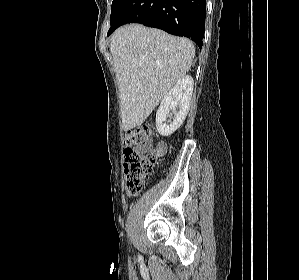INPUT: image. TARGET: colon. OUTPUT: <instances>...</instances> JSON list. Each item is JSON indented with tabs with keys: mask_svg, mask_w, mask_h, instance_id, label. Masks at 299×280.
<instances>
[{
	"mask_svg": "<svg viewBox=\"0 0 299 280\" xmlns=\"http://www.w3.org/2000/svg\"><path fill=\"white\" fill-rule=\"evenodd\" d=\"M152 129L148 126L130 130L124 139V174L126 192L130 196L138 195L153 172L159 153H145L141 150L152 138Z\"/></svg>",
	"mask_w": 299,
	"mask_h": 280,
	"instance_id": "1",
	"label": "colon"
}]
</instances>
